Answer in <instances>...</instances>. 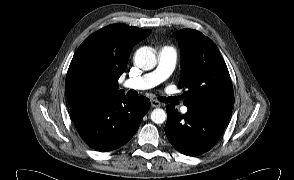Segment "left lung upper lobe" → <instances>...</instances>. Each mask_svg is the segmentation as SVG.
<instances>
[{
    "label": "left lung upper lobe",
    "instance_id": "left-lung-upper-lobe-1",
    "mask_svg": "<svg viewBox=\"0 0 294 180\" xmlns=\"http://www.w3.org/2000/svg\"><path fill=\"white\" fill-rule=\"evenodd\" d=\"M173 37L181 48V78L179 88L185 105H205L232 108L234 93L227 66L215 43L201 32L182 29Z\"/></svg>",
    "mask_w": 294,
    "mask_h": 180
}]
</instances>
